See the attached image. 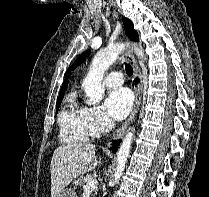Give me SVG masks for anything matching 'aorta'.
Returning <instances> with one entry per match:
<instances>
[{
    "instance_id": "1",
    "label": "aorta",
    "mask_w": 209,
    "mask_h": 197,
    "mask_svg": "<svg viewBox=\"0 0 209 197\" xmlns=\"http://www.w3.org/2000/svg\"><path fill=\"white\" fill-rule=\"evenodd\" d=\"M124 47L125 45L123 43L112 44L94 56L90 70L83 82L84 90L90 104H95L102 99L104 95V89L102 87L104 73L116 61L119 54L124 50ZM132 49H134L137 56L144 58V52L141 47L134 44L132 45ZM133 136L134 132L132 130L128 131L119 146L116 171L114 179L111 181L113 184L118 183L126 167Z\"/></svg>"
}]
</instances>
